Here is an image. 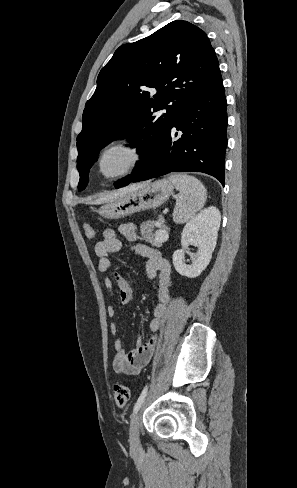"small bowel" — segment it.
<instances>
[{
  "mask_svg": "<svg viewBox=\"0 0 297 488\" xmlns=\"http://www.w3.org/2000/svg\"><path fill=\"white\" fill-rule=\"evenodd\" d=\"M118 232L130 243L131 250L148 259L146 264V275L150 281L157 284L158 303L153 307V317L149 321L147 336L141 340L130 352H125L120 337L118 336L119 325L112 322L110 333L114 340L113 369L119 375H136L150 361L156 343L155 333L162 325L170 302V278L171 267L166 258L155 248L139 242V235L133 223H125L119 226ZM123 247L122 241L117 237L116 231L107 228L103 231L101 238L94 247L98 258L97 270L99 273H106L111 267L109 255L120 251ZM115 282L118 288L119 300L122 304H128L132 300V285L130 279L122 272H114L112 278L105 277L103 285L108 293L114 295ZM107 314L111 318L116 317V310L113 306L107 307Z\"/></svg>",
  "mask_w": 297,
  "mask_h": 488,
  "instance_id": "1",
  "label": "small bowel"
}]
</instances>
